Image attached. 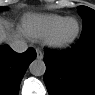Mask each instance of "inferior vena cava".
Here are the masks:
<instances>
[{
	"label": "inferior vena cava",
	"mask_w": 95,
	"mask_h": 95,
	"mask_svg": "<svg viewBox=\"0 0 95 95\" xmlns=\"http://www.w3.org/2000/svg\"><path fill=\"white\" fill-rule=\"evenodd\" d=\"M9 45L11 49L17 53L25 52L28 48L27 43L24 40L20 39L12 41Z\"/></svg>",
	"instance_id": "inferior-vena-cava-1"
}]
</instances>
